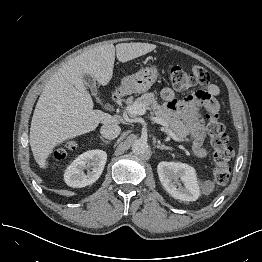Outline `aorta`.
I'll return each instance as SVG.
<instances>
[{"instance_id": "1", "label": "aorta", "mask_w": 262, "mask_h": 262, "mask_svg": "<svg viewBox=\"0 0 262 262\" xmlns=\"http://www.w3.org/2000/svg\"><path fill=\"white\" fill-rule=\"evenodd\" d=\"M132 150L136 154H145L148 150V143L144 139H137L133 142Z\"/></svg>"}]
</instances>
